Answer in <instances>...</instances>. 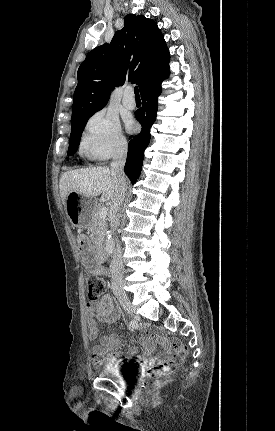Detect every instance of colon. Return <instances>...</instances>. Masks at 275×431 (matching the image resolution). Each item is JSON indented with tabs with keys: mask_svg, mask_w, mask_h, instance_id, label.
Masks as SVG:
<instances>
[{
	"mask_svg": "<svg viewBox=\"0 0 275 431\" xmlns=\"http://www.w3.org/2000/svg\"><path fill=\"white\" fill-rule=\"evenodd\" d=\"M87 293L88 298L92 301L97 300L103 294L106 288L105 281L95 273H89L86 276ZM184 354L186 353L185 347H183ZM167 363L164 362L160 365H156L149 370L152 376L158 377L166 372Z\"/></svg>",
	"mask_w": 275,
	"mask_h": 431,
	"instance_id": "5ec220e1",
	"label": "colon"
}]
</instances>
